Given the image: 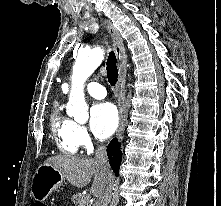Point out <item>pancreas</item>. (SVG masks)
Listing matches in <instances>:
<instances>
[{"instance_id": "1", "label": "pancreas", "mask_w": 221, "mask_h": 206, "mask_svg": "<svg viewBox=\"0 0 221 206\" xmlns=\"http://www.w3.org/2000/svg\"><path fill=\"white\" fill-rule=\"evenodd\" d=\"M88 200V196L82 193H76L72 196V202L75 206H90Z\"/></svg>"}]
</instances>
